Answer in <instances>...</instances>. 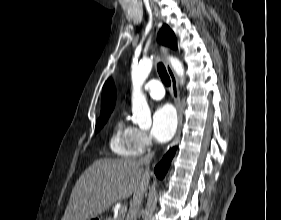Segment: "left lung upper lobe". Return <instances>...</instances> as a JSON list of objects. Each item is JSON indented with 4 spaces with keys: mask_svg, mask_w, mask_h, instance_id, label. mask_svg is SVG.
Listing matches in <instances>:
<instances>
[{
    "mask_svg": "<svg viewBox=\"0 0 281 220\" xmlns=\"http://www.w3.org/2000/svg\"><path fill=\"white\" fill-rule=\"evenodd\" d=\"M159 41H161L162 44L170 46L171 48H176V38L173 33V31L167 26L164 25L160 32H159Z\"/></svg>",
    "mask_w": 281,
    "mask_h": 220,
    "instance_id": "5c2ea615",
    "label": "left lung upper lobe"
}]
</instances>
